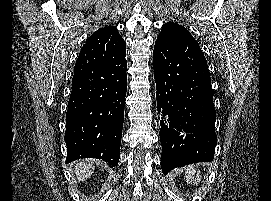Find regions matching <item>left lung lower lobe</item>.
<instances>
[{
    "mask_svg": "<svg viewBox=\"0 0 271 201\" xmlns=\"http://www.w3.org/2000/svg\"><path fill=\"white\" fill-rule=\"evenodd\" d=\"M153 63L164 174L211 161L217 142L216 111L207 61L198 42L183 27L172 38L156 41Z\"/></svg>",
    "mask_w": 271,
    "mask_h": 201,
    "instance_id": "obj_1",
    "label": "left lung lower lobe"
}]
</instances>
